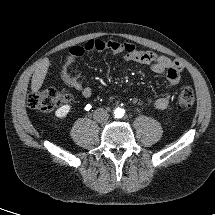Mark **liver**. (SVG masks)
Here are the masks:
<instances>
[{
    "mask_svg": "<svg viewBox=\"0 0 215 215\" xmlns=\"http://www.w3.org/2000/svg\"><path fill=\"white\" fill-rule=\"evenodd\" d=\"M49 65L50 62L48 58H44L36 64L34 74L31 79V90L33 93L37 92L41 88Z\"/></svg>",
    "mask_w": 215,
    "mask_h": 215,
    "instance_id": "obj_1",
    "label": "liver"
}]
</instances>
